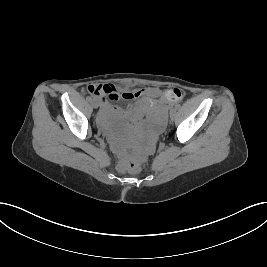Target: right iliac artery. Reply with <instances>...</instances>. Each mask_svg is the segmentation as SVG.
I'll use <instances>...</instances> for the list:
<instances>
[{
    "mask_svg": "<svg viewBox=\"0 0 267 267\" xmlns=\"http://www.w3.org/2000/svg\"><path fill=\"white\" fill-rule=\"evenodd\" d=\"M86 99H87V101H91L92 100L91 97H87Z\"/></svg>",
    "mask_w": 267,
    "mask_h": 267,
    "instance_id": "1",
    "label": "right iliac artery"
}]
</instances>
